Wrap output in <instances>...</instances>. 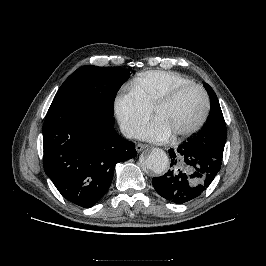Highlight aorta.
I'll return each instance as SVG.
<instances>
[{
  "instance_id": "obj_1",
  "label": "aorta",
  "mask_w": 266,
  "mask_h": 266,
  "mask_svg": "<svg viewBox=\"0 0 266 266\" xmlns=\"http://www.w3.org/2000/svg\"><path fill=\"white\" fill-rule=\"evenodd\" d=\"M145 164L154 173L161 174L167 169L169 159L165 151L160 148H153L146 157Z\"/></svg>"
}]
</instances>
